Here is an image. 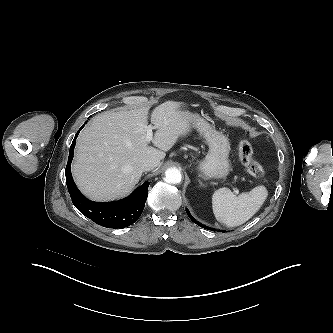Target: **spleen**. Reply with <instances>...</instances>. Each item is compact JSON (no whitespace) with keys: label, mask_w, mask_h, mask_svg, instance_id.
Masks as SVG:
<instances>
[{"label":"spleen","mask_w":333,"mask_h":333,"mask_svg":"<svg viewBox=\"0 0 333 333\" xmlns=\"http://www.w3.org/2000/svg\"><path fill=\"white\" fill-rule=\"evenodd\" d=\"M268 196L264 186L236 196L226 187L216 190L212 196V209L216 220L228 227H237L248 221L263 205Z\"/></svg>","instance_id":"obj_1"}]
</instances>
